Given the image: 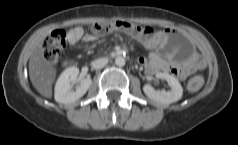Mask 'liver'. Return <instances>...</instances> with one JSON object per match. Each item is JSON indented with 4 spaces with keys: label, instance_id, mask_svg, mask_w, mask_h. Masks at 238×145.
Instances as JSON below:
<instances>
[{
    "label": "liver",
    "instance_id": "6515ba94",
    "mask_svg": "<svg viewBox=\"0 0 238 145\" xmlns=\"http://www.w3.org/2000/svg\"><path fill=\"white\" fill-rule=\"evenodd\" d=\"M29 76L34 88L44 97H52L56 69L44 57L42 45H36L29 60Z\"/></svg>",
    "mask_w": 238,
    "mask_h": 145
}]
</instances>
